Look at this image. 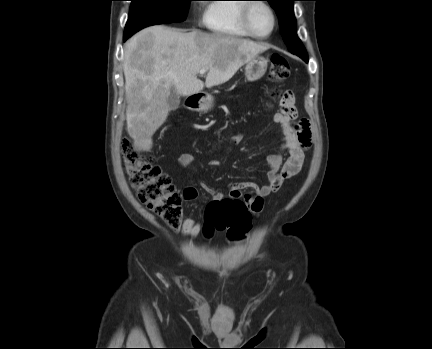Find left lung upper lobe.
Listing matches in <instances>:
<instances>
[{
	"instance_id": "1",
	"label": "left lung upper lobe",
	"mask_w": 432,
	"mask_h": 349,
	"mask_svg": "<svg viewBox=\"0 0 432 349\" xmlns=\"http://www.w3.org/2000/svg\"><path fill=\"white\" fill-rule=\"evenodd\" d=\"M276 10L279 18L280 31L288 50L299 56L308 57L307 52L296 34V19L293 2L296 0H266Z\"/></svg>"
}]
</instances>
